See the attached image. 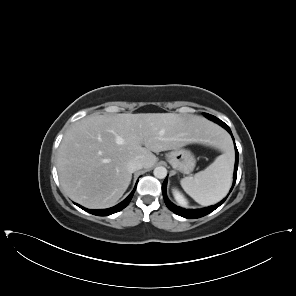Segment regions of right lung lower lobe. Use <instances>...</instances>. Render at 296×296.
<instances>
[{
    "instance_id": "1",
    "label": "right lung lower lobe",
    "mask_w": 296,
    "mask_h": 296,
    "mask_svg": "<svg viewBox=\"0 0 296 296\" xmlns=\"http://www.w3.org/2000/svg\"><path fill=\"white\" fill-rule=\"evenodd\" d=\"M136 190V187L134 188V190L131 192V194L124 200L122 201L121 203H119L118 205L112 207V208H108V209H101V210H89V209H86L78 204H76L78 207H80L81 209L91 213V214H94V215H97V216H107V215H111L113 213H116L122 209H124L130 202V200L132 199V196L134 194Z\"/></svg>"
}]
</instances>
